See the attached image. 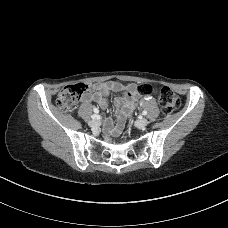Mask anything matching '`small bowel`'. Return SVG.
Instances as JSON below:
<instances>
[{"label":"small bowel","mask_w":228,"mask_h":228,"mask_svg":"<svg viewBox=\"0 0 228 228\" xmlns=\"http://www.w3.org/2000/svg\"><path fill=\"white\" fill-rule=\"evenodd\" d=\"M111 92H122V96H117L114 99L116 105V117L118 119L116 126L113 128L112 122H105L104 130L107 134H118L124 127L125 118L135 108L136 103L140 99V94L137 92V86L133 83L122 84L116 81L97 82L92 84L91 91L83 97L84 103L96 102L102 109L108 106L107 96ZM152 97L147 95L143 101H149Z\"/></svg>","instance_id":"1"}]
</instances>
